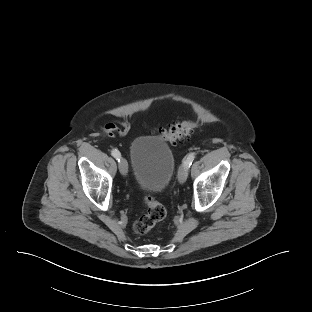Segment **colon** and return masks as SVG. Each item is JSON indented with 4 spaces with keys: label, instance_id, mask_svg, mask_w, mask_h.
Masks as SVG:
<instances>
[{
    "label": "colon",
    "instance_id": "colon-1",
    "mask_svg": "<svg viewBox=\"0 0 312 312\" xmlns=\"http://www.w3.org/2000/svg\"><path fill=\"white\" fill-rule=\"evenodd\" d=\"M198 128V122L185 121L182 123L172 124L167 129H159L157 130V135L164 140L177 142ZM144 203L147 208L146 213L138 218L133 225L134 231L139 235L146 234L158 222L162 221L166 217L165 207L153 196L146 195L144 197Z\"/></svg>",
    "mask_w": 312,
    "mask_h": 312
}]
</instances>
